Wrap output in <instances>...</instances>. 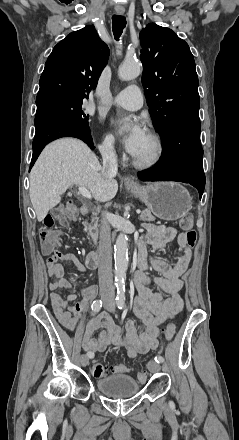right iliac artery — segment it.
Here are the masks:
<instances>
[{
	"label": "right iliac artery",
	"instance_id": "obj_1",
	"mask_svg": "<svg viewBox=\"0 0 239 440\" xmlns=\"http://www.w3.org/2000/svg\"><path fill=\"white\" fill-rule=\"evenodd\" d=\"M101 307H102V301L101 300H95L93 303H92V306H91V308H92V311L93 312H99V310L101 309ZM87 356L89 357V358H92L94 355L92 354V353H90V352H88L87 353Z\"/></svg>",
	"mask_w": 239,
	"mask_h": 440
}]
</instances>
